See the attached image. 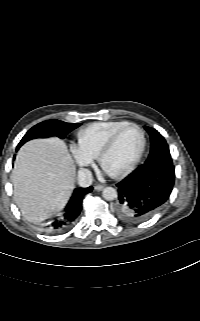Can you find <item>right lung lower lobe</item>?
<instances>
[{
    "label": "right lung lower lobe",
    "instance_id": "obj_1",
    "mask_svg": "<svg viewBox=\"0 0 200 321\" xmlns=\"http://www.w3.org/2000/svg\"><path fill=\"white\" fill-rule=\"evenodd\" d=\"M92 187L76 188L67 203L64 213L48 226L51 233H58L68 229L80 214L82 209V198L92 191Z\"/></svg>",
    "mask_w": 200,
    "mask_h": 321
}]
</instances>
